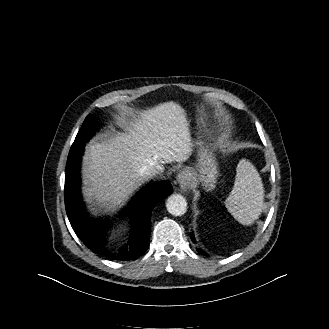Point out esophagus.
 I'll return each instance as SVG.
<instances>
[{"label":"esophagus","instance_id":"1","mask_svg":"<svg viewBox=\"0 0 329 329\" xmlns=\"http://www.w3.org/2000/svg\"><path fill=\"white\" fill-rule=\"evenodd\" d=\"M177 182L180 185V188L184 191L190 186V178L185 171H182L177 175Z\"/></svg>","mask_w":329,"mask_h":329}]
</instances>
